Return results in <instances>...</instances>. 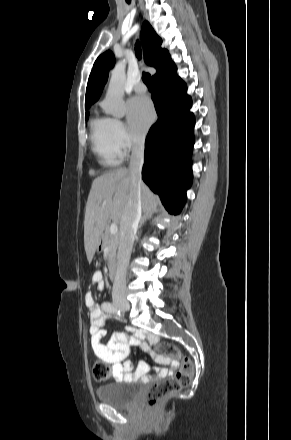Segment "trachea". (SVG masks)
Wrapping results in <instances>:
<instances>
[{
  "mask_svg": "<svg viewBox=\"0 0 291 440\" xmlns=\"http://www.w3.org/2000/svg\"><path fill=\"white\" fill-rule=\"evenodd\" d=\"M126 1L129 2V0H126ZM135 50H136V56L138 57V59H140L141 58V49H140V45L138 42L136 43ZM142 79L148 88H152V80H151V75L149 73H143Z\"/></svg>",
  "mask_w": 291,
  "mask_h": 440,
  "instance_id": "3493384b",
  "label": "trachea"
}]
</instances>
